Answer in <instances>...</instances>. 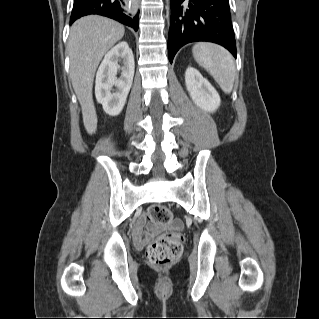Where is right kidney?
I'll return each instance as SVG.
<instances>
[{"mask_svg":"<svg viewBox=\"0 0 319 319\" xmlns=\"http://www.w3.org/2000/svg\"><path fill=\"white\" fill-rule=\"evenodd\" d=\"M123 63L120 67L118 62ZM134 56L127 42L114 46L104 57L96 74L95 96L104 111L117 116L123 110L134 77ZM121 69L120 78L116 77ZM116 90H113V87Z\"/></svg>","mask_w":319,"mask_h":319,"instance_id":"ca27d5eb","label":"right kidney"}]
</instances>
